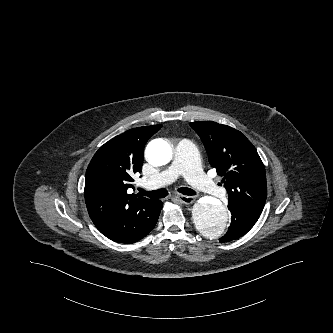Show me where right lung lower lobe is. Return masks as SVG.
Returning a JSON list of instances; mask_svg holds the SVG:
<instances>
[{"instance_id":"obj_1","label":"right lung lower lobe","mask_w":333,"mask_h":333,"mask_svg":"<svg viewBox=\"0 0 333 333\" xmlns=\"http://www.w3.org/2000/svg\"><path fill=\"white\" fill-rule=\"evenodd\" d=\"M163 203L153 200L136 211L123 229L109 239L119 243H135L144 238L155 227Z\"/></svg>"}]
</instances>
